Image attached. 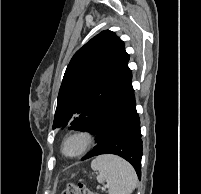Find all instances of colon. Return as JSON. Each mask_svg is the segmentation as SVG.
<instances>
[{
	"label": "colon",
	"mask_w": 201,
	"mask_h": 194,
	"mask_svg": "<svg viewBox=\"0 0 201 194\" xmlns=\"http://www.w3.org/2000/svg\"><path fill=\"white\" fill-rule=\"evenodd\" d=\"M62 194H97L89 190L84 184L69 185Z\"/></svg>",
	"instance_id": "5ec220e1"
}]
</instances>
